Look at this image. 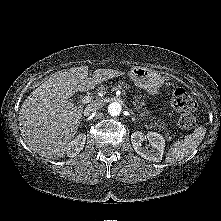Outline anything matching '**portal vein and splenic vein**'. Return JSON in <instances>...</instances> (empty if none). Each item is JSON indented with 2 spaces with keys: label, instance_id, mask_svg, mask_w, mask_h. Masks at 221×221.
<instances>
[{
  "label": "portal vein and splenic vein",
  "instance_id": "18ae733b",
  "mask_svg": "<svg viewBox=\"0 0 221 221\" xmlns=\"http://www.w3.org/2000/svg\"><path fill=\"white\" fill-rule=\"evenodd\" d=\"M91 100H92V96L87 95V96H84V97L81 99V102H82L83 104H87V103L91 102Z\"/></svg>",
  "mask_w": 221,
  "mask_h": 221
}]
</instances>
